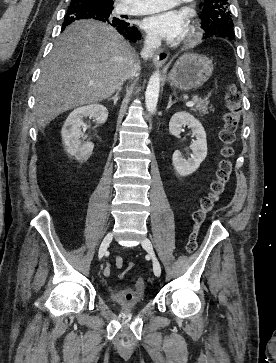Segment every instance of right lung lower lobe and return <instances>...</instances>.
I'll return each instance as SVG.
<instances>
[{"label":"right lung lower lobe","mask_w":276,"mask_h":363,"mask_svg":"<svg viewBox=\"0 0 276 363\" xmlns=\"http://www.w3.org/2000/svg\"><path fill=\"white\" fill-rule=\"evenodd\" d=\"M79 19H95L102 22H106L111 24L116 28V30L125 36L127 39L136 42L141 38L140 32L135 27H130L129 23L122 21L116 22L114 19H106L101 17V15L94 9L90 7H77L74 9H68L65 17L64 23L62 25V30L65 29L70 23L79 20Z\"/></svg>","instance_id":"1"}]
</instances>
